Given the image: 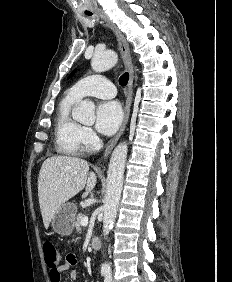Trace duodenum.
Listing matches in <instances>:
<instances>
[{"label": "duodenum", "instance_id": "410a0bca", "mask_svg": "<svg viewBox=\"0 0 232 282\" xmlns=\"http://www.w3.org/2000/svg\"><path fill=\"white\" fill-rule=\"evenodd\" d=\"M90 245L93 250L98 251L101 248V241L99 238L94 237L91 239Z\"/></svg>", "mask_w": 232, "mask_h": 282}]
</instances>
